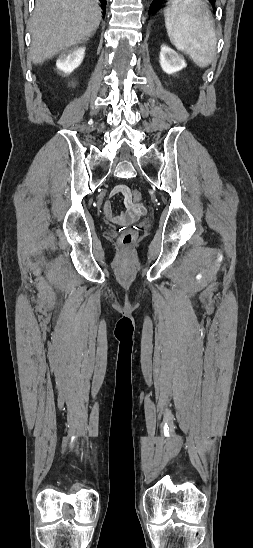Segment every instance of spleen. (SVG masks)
Returning a JSON list of instances; mask_svg holds the SVG:
<instances>
[{
  "label": "spleen",
  "instance_id": "3e777b00",
  "mask_svg": "<svg viewBox=\"0 0 253 548\" xmlns=\"http://www.w3.org/2000/svg\"><path fill=\"white\" fill-rule=\"evenodd\" d=\"M171 43L200 68L207 67L216 54L214 23L202 0H171L164 10Z\"/></svg>",
  "mask_w": 253,
  "mask_h": 548
}]
</instances>
